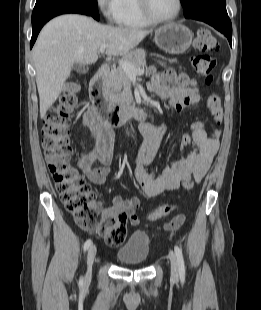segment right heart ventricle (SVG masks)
Wrapping results in <instances>:
<instances>
[{
	"label": "right heart ventricle",
	"mask_w": 261,
	"mask_h": 310,
	"mask_svg": "<svg viewBox=\"0 0 261 310\" xmlns=\"http://www.w3.org/2000/svg\"><path fill=\"white\" fill-rule=\"evenodd\" d=\"M116 23L129 29H142L152 25L142 15L138 0H120V10Z\"/></svg>",
	"instance_id": "e07e8e85"
}]
</instances>
